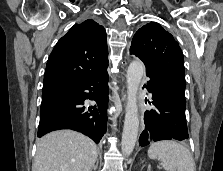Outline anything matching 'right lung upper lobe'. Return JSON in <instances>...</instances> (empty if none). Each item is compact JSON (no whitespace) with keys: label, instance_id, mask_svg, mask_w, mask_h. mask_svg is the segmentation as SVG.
I'll use <instances>...</instances> for the list:
<instances>
[{"label":"right lung upper lobe","instance_id":"right-lung-upper-lobe-1","mask_svg":"<svg viewBox=\"0 0 223 171\" xmlns=\"http://www.w3.org/2000/svg\"><path fill=\"white\" fill-rule=\"evenodd\" d=\"M107 67L108 48L104 27L92 19L75 24L50 54L42 94L80 85Z\"/></svg>","mask_w":223,"mask_h":171}]
</instances>
